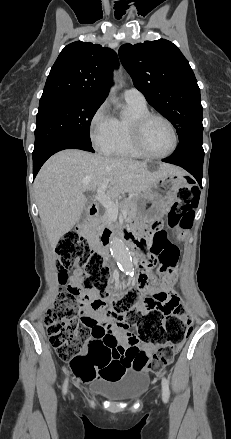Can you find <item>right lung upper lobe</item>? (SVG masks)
<instances>
[{
	"label": "right lung upper lobe",
	"mask_w": 231,
	"mask_h": 439,
	"mask_svg": "<svg viewBox=\"0 0 231 439\" xmlns=\"http://www.w3.org/2000/svg\"><path fill=\"white\" fill-rule=\"evenodd\" d=\"M116 53L107 47L76 41L59 54L47 78L40 102L57 98H84L104 102Z\"/></svg>",
	"instance_id": "cb5924a9"
}]
</instances>
